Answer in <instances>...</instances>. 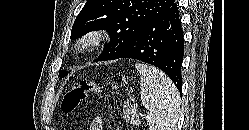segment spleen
Listing matches in <instances>:
<instances>
[{
  "instance_id": "spleen-1",
  "label": "spleen",
  "mask_w": 249,
  "mask_h": 130,
  "mask_svg": "<svg viewBox=\"0 0 249 130\" xmlns=\"http://www.w3.org/2000/svg\"><path fill=\"white\" fill-rule=\"evenodd\" d=\"M140 96L147 109L150 130H175L179 113V92L172 80L154 66L137 63Z\"/></svg>"
}]
</instances>
